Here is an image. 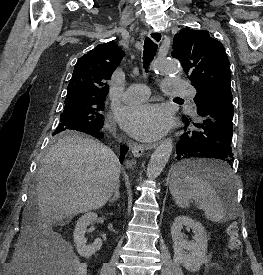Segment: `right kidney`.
Masks as SVG:
<instances>
[{
  "instance_id": "right-kidney-1",
  "label": "right kidney",
  "mask_w": 263,
  "mask_h": 275,
  "mask_svg": "<svg viewBox=\"0 0 263 275\" xmlns=\"http://www.w3.org/2000/svg\"><path fill=\"white\" fill-rule=\"evenodd\" d=\"M97 219V214L94 212H89L84 214L79 218L76 223L75 230L73 233L74 242L80 256L89 258L100 250L102 246V240L97 238L91 245H86L85 233L86 229L90 224H93Z\"/></svg>"
}]
</instances>
